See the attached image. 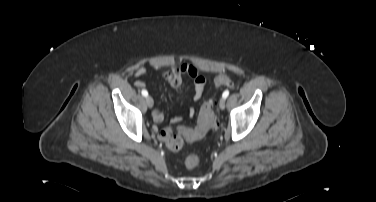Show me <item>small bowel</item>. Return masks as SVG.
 Instances as JSON below:
<instances>
[{
    "label": "small bowel",
    "instance_id": "small-bowel-1",
    "mask_svg": "<svg viewBox=\"0 0 376 202\" xmlns=\"http://www.w3.org/2000/svg\"><path fill=\"white\" fill-rule=\"evenodd\" d=\"M156 74L165 78L169 84L174 88H179L182 84L183 77H189L193 80L194 84V91H193V100L197 101L201 98L204 86H205V79L203 76L199 75L196 68L189 64H183L179 67H167L163 68L160 66H152L150 68H139L135 71V81L134 85L138 88H142L145 86L144 81L140 79V77L148 74ZM195 114V110L193 108L188 109L187 115L189 117H193ZM152 118L156 123H161L164 120V114L159 106H156L152 112ZM182 118L179 116L173 117L171 122L173 124H177L181 122Z\"/></svg>",
    "mask_w": 376,
    "mask_h": 202
}]
</instances>
